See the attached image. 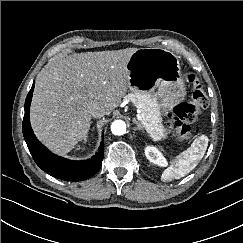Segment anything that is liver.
<instances>
[{
  "label": "liver",
  "mask_w": 243,
  "mask_h": 243,
  "mask_svg": "<svg viewBox=\"0 0 243 243\" xmlns=\"http://www.w3.org/2000/svg\"><path fill=\"white\" fill-rule=\"evenodd\" d=\"M137 48L86 52L47 65L36 78L30 121L37 138L65 155L84 139L94 104L109 115L129 87L127 63Z\"/></svg>",
  "instance_id": "liver-1"
}]
</instances>
